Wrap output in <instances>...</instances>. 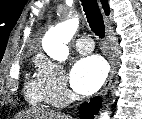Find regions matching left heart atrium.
Segmentation results:
<instances>
[{
    "instance_id": "left-heart-atrium-1",
    "label": "left heart atrium",
    "mask_w": 142,
    "mask_h": 119,
    "mask_svg": "<svg viewBox=\"0 0 142 119\" xmlns=\"http://www.w3.org/2000/svg\"><path fill=\"white\" fill-rule=\"evenodd\" d=\"M107 74L105 62L98 56L80 59L70 74V83L74 91L88 95L97 91Z\"/></svg>"
}]
</instances>
